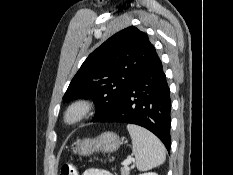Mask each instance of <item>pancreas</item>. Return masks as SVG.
<instances>
[{
  "mask_svg": "<svg viewBox=\"0 0 233 175\" xmlns=\"http://www.w3.org/2000/svg\"><path fill=\"white\" fill-rule=\"evenodd\" d=\"M130 169L127 167L121 168V175H129Z\"/></svg>",
  "mask_w": 233,
  "mask_h": 175,
  "instance_id": "1",
  "label": "pancreas"
}]
</instances>
